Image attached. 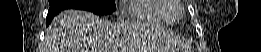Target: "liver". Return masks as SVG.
Instances as JSON below:
<instances>
[{
    "instance_id": "obj_1",
    "label": "liver",
    "mask_w": 261,
    "mask_h": 52,
    "mask_svg": "<svg viewBox=\"0 0 261 52\" xmlns=\"http://www.w3.org/2000/svg\"><path fill=\"white\" fill-rule=\"evenodd\" d=\"M133 23L111 22L87 11L67 9L57 15L45 35L44 52H134Z\"/></svg>"
}]
</instances>
